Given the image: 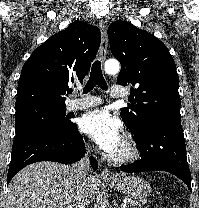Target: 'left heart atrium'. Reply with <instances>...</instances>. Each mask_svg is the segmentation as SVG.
<instances>
[{
    "instance_id": "obj_1",
    "label": "left heart atrium",
    "mask_w": 199,
    "mask_h": 208,
    "mask_svg": "<svg viewBox=\"0 0 199 208\" xmlns=\"http://www.w3.org/2000/svg\"><path fill=\"white\" fill-rule=\"evenodd\" d=\"M79 129L107 154H111L123 140L122 124L106 109L86 113L79 121Z\"/></svg>"
}]
</instances>
